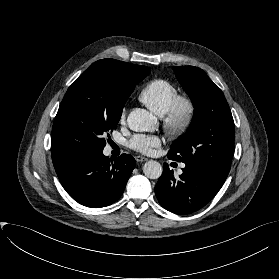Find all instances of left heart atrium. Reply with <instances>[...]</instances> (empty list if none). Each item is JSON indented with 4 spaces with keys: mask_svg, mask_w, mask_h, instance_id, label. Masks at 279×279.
Here are the masks:
<instances>
[{
    "mask_svg": "<svg viewBox=\"0 0 279 279\" xmlns=\"http://www.w3.org/2000/svg\"><path fill=\"white\" fill-rule=\"evenodd\" d=\"M161 145V139L156 135L137 134L129 141V147L143 154L152 153L154 148Z\"/></svg>",
    "mask_w": 279,
    "mask_h": 279,
    "instance_id": "obj_1",
    "label": "left heart atrium"
}]
</instances>
